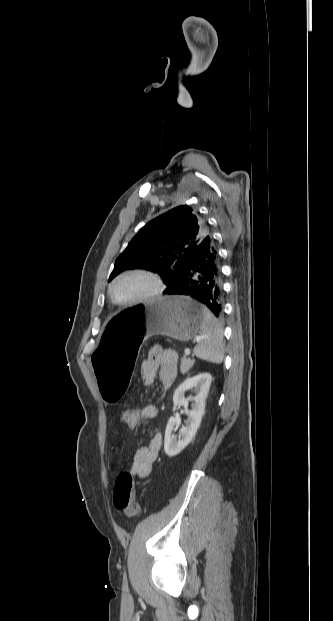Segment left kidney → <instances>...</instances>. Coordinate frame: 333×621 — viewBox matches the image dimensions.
Listing matches in <instances>:
<instances>
[{
    "label": "left kidney",
    "instance_id": "left-kidney-1",
    "mask_svg": "<svg viewBox=\"0 0 333 621\" xmlns=\"http://www.w3.org/2000/svg\"><path fill=\"white\" fill-rule=\"evenodd\" d=\"M212 376L209 373H201L186 379L175 390L173 395V411L182 404L187 415L186 426L180 429L182 439L177 440L172 432L176 424L174 416L170 417L165 430L164 451L172 457L180 453L192 440L200 426L205 410V401L209 392ZM195 388L196 395L185 398V392ZM189 401H192L191 410L188 409Z\"/></svg>",
    "mask_w": 333,
    "mask_h": 621
}]
</instances>
